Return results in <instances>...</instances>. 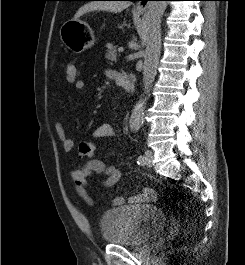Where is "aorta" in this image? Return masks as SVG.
Listing matches in <instances>:
<instances>
[{"label":"aorta","instance_id":"1","mask_svg":"<svg viewBox=\"0 0 245 265\" xmlns=\"http://www.w3.org/2000/svg\"><path fill=\"white\" fill-rule=\"evenodd\" d=\"M166 7L167 1L148 2L146 18V49L143 65V85L145 95L143 94V97L135 104L130 116L129 125L131 130L134 131L139 130L142 125L146 101L157 74V66L161 50V21Z\"/></svg>","mask_w":245,"mask_h":265}]
</instances>
